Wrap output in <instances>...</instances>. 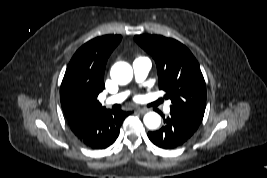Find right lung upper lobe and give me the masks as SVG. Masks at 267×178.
<instances>
[{"label": "right lung upper lobe", "instance_id": "cb5924a9", "mask_svg": "<svg viewBox=\"0 0 267 178\" xmlns=\"http://www.w3.org/2000/svg\"><path fill=\"white\" fill-rule=\"evenodd\" d=\"M121 39L120 35L97 37L76 51L67 66L60 88V101L66 119L104 109L97 97L105 88L107 59Z\"/></svg>", "mask_w": 267, "mask_h": 178}]
</instances>
